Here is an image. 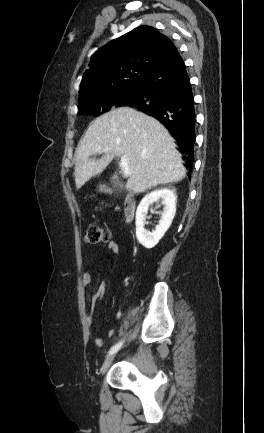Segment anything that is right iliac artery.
I'll return each instance as SVG.
<instances>
[{
  "instance_id": "1",
  "label": "right iliac artery",
  "mask_w": 264,
  "mask_h": 433,
  "mask_svg": "<svg viewBox=\"0 0 264 433\" xmlns=\"http://www.w3.org/2000/svg\"><path fill=\"white\" fill-rule=\"evenodd\" d=\"M122 345H123V341H120V342H118L117 344H115V345L110 349V351H109V355H111V354L117 352V351L121 348Z\"/></svg>"
}]
</instances>
